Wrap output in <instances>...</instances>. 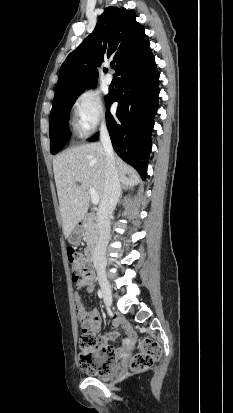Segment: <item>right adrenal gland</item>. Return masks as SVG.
Wrapping results in <instances>:
<instances>
[{
	"label": "right adrenal gland",
	"instance_id": "obj_1",
	"mask_svg": "<svg viewBox=\"0 0 233 413\" xmlns=\"http://www.w3.org/2000/svg\"><path fill=\"white\" fill-rule=\"evenodd\" d=\"M123 190H128V187L127 186H122V188H121V192H120V195L122 196V194H123Z\"/></svg>",
	"mask_w": 233,
	"mask_h": 413
}]
</instances>
